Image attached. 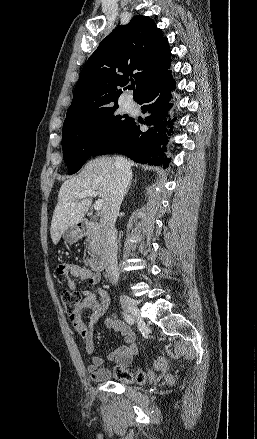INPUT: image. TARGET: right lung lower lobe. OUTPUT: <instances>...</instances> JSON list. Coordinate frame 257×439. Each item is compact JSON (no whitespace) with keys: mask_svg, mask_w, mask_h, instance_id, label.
I'll use <instances>...</instances> for the list:
<instances>
[{"mask_svg":"<svg viewBox=\"0 0 257 439\" xmlns=\"http://www.w3.org/2000/svg\"><path fill=\"white\" fill-rule=\"evenodd\" d=\"M167 71L159 77L137 101L142 105L145 121L131 118L130 122L114 138L98 147L92 156L120 153L135 162L149 165L168 166L170 159L165 154L167 135L173 132L174 119L166 118L171 104V91L175 81ZM144 124L148 129L141 127Z\"/></svg>","mask_w":257,"mask_h":439,"instance_id":"right-lung-lower-lobe-1","label":"right lung lower lobe"}]
</instances>
